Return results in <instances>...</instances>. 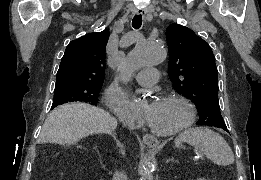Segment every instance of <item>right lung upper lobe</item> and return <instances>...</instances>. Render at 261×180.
I'll list each match as a JSON object with an SVG mask.
<instances>
[{
    "mask_svg": "<svg viewBox=\"0 0 261 180\" xmlns=\"http://www.w3.org/2000/svg\"><path fill=\"white\" fill-rule=\"evenodd\" d=\"M107 30L89 33L67 46L57 72L56 86L68 83L103 84Z\"/></svg>",
    "mask_w": 261,
    "mask_h": 180,
    "instance_id": "right-lung-upper-lobe-1",
    "label": "right lung upper lobe"
}]
</instances>
